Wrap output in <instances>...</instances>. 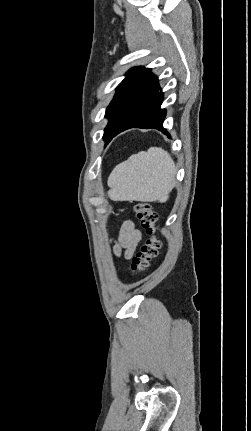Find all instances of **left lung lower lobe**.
<instances>
[{
    "instance_id": "obj_1",
    "label": "left lung lower lobe",
    "mask_w": 251,
    "mask_h": 431,
    "mask_svg": "<svg viewBox=\"0 0 251 431\" xmlns=\"http://www.w3.org/2000/svg\"><path fill=\"white\" fill-rule=\"evenodd\" d=\"M159 90L161 89L157 77L150 74L108 142L120 132L130 128L157 129L170 137L163 128L166 111L160 109L163 93Z\"/></svg>"
}]
</instances>
